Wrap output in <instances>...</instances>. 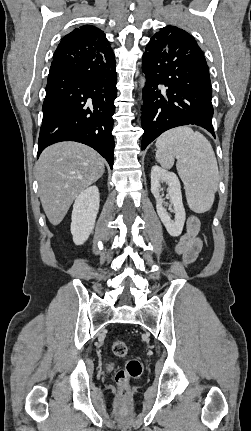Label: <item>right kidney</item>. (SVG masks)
Returning <instances> with one entry per match:
<instances>
[{"label":"right kidney","mask_w":251,"mask_h":431,"mask_svg":"<svg viewBox=\"0 0 251 431\" xmlns=\"http://www.w3.org/2000/svg\"><path fill=\"white\" fill-rule=\"evenodd\" d=\"M100 195L97 186L83 190L75 200L72 211L71 234L76 245H82L92 233L99 211Z\"/></svg>","instance_id":"obj_1"}]
</instances>
